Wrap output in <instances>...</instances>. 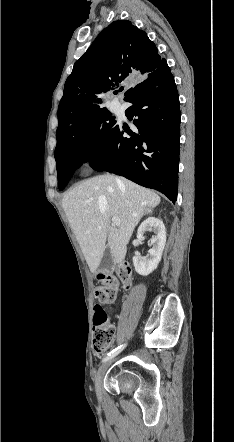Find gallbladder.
Returning a JSON list of instances; mask_svg holds the SVG:
<instances>
[{"mask_svg":"<svg viewBox=\"0 0 234 442\" xmlns=\"http://www.w3.org/2000/svg\"><path fill=\"white\" fill-rule=\"evenodd\" d=\"M112 265V256L109 248H107L102 257L101 263L98 267V271L109 272Z\"/></svg>","mask_w":234,"mask_h":442,"instance_id":"obj_1","label":"gallbladder"}]
</instances>
